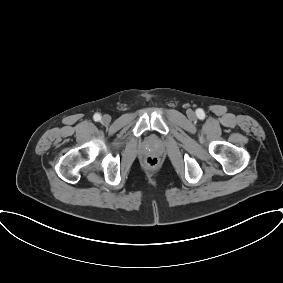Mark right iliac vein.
I'll return each mask as SVG.
<instances>
[{
    "mask_svg": "<svg viewBox=\"0 0 283 283\" xmlns=\"http://www.w3.org/2000/svg\"><path fill=\"white\" fill-rule=\"evenodd\" d=\"M110 121H111L110 115H108V114L103 115V117H102V123H104V124H109Z\"/></svg>",
    "mask_w": 283,
    "mask_h": 283,
    "instance_id": "right-iliac-vein-1",
    "label": "right iliac vein"
}]
</instances>
